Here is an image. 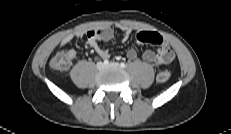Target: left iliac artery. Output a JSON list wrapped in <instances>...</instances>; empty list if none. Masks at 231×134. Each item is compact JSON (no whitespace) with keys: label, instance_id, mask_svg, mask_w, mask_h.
Here are the masks:
<instances>
[{"label":"left iliac artery","instance_id":"obj_1","mask_svg":"<svg viewBox=\"0 0 231 134\" xmlns=\"http://www.w3.org/2000/svg\"><path fill=\"white\" fill-rule=\"evenodd\" d=\"M120 66H121L122 68H125V67H126L125 63H123V62L120 63Z\"/></svg>","mask_w":231,"mask_h":134}]
</instances>
